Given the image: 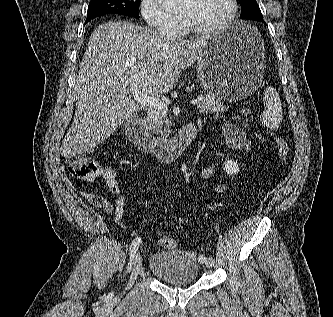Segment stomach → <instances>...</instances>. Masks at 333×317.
<instances>
[{"label":"stomach","mask_w":333,"mask_h":317,"mask_svg":"<svg viewBox=\"0 0 333 317\" xmlns=\"http://www.w3.org/2000/svg\"><path fill=\"white\" fill-rule=\"evenodd\" d=\"M264 56L259 31L234 23L208 37L197 59L199 82L210 95L228 102L262 95Z\"/></svg>","instance_id":"0dacf381"}]
</instances>
